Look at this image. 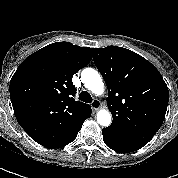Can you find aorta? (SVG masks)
I'll return each instance as SVG.
<instances>
[{"instance_id": "obj_1", "label": "aorta", "mask_w": 178, "mask_h": 178, "mask_svg": "<svg viewBox=\"0 0 178 178\" xmlns=\"http://www.w3.org/2000/svg\"><path fill=\"white\" fill-rule=\"evenodd\" d=\"M81 80L84 86L95 95H101L104 92V83L100 74L93 68H85L81 72ZM111 114L107 109H100L97 113V122L101 126L111 124Z\"/></svg>"}]
</instances>
